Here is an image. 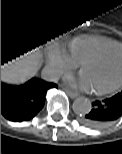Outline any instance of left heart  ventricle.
I'll return each instance as SVG.
<instances>
[{
  "instance_id": "1",
  "label": "left heart ventricle",
  "mask_w": 122,
  "mask_h": 154,
  "mask_svg": "<svg viewBox=\"0 0 122 154\" xmlns=\"http://www.w3.org/2000/svg\"><path fill=\"white\" fill-rule=\"evenodd\" d=\"M122 76V49H114L87 63L82 77L91 90L115 83Z\"/></svg>"
}]
</instances>
